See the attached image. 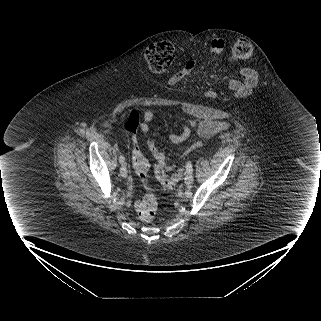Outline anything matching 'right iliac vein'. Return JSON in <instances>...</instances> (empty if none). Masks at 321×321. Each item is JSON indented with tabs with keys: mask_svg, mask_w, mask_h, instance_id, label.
<instances>
[{
	"mask_svg": "<svg viewBox=\"0 0 321 321\" xmlns=\"http://www.w3.org/2000/svg\"><path fill=\"white\" fill-rule=\"evenodd\" d=\"M120 173L122 177H127V170L126 167L123 165L120 169Z\"/></svg>",
	"mask_w": 321,
	"mask_h": 321,
	"instance_id": "63e3f726",
	"label": "right iliac vein"
}]
</instances>
